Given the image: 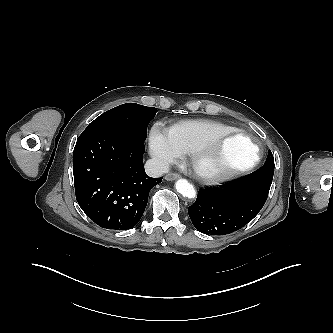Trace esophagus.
<instances>
[{
    "label": "esophagus",
    "mask_w": 333,
    "mask_h": 333,
    "mask_svg": "<svg viewBox=\"0 0 333 333\" xmlns=\"http://www.w3.org/2000/svg\"><path fill=\"white\" fill-rule=\"evenodd\" d=\"M179 178H180V175L178 173H168L165 175V179L167 181H173V180H176Z\"/></svg>",
    "instance_id": "34e87169"
}]
</instances>
